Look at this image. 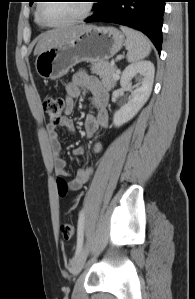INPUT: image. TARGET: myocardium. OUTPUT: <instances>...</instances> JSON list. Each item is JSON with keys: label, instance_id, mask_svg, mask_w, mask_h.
I'll list each match as a JSON object with an SVG mask.
<instances>
[{"label": "myocardium", "instance_id": "myocardium-1", "mask_svg": "<svg viewBox=\"0 0 195 299\" xmlns=\"http://www.w3.org/2000/svg\"><path fill=\"white\" fill-rule=\"evenodd\" d=\"M44 3H39L37 5V9H36V14L37 17L39 19V21L47 26V27H52V28H59V27H65V26H69L78 22H81L83 20H85L86 18H88L93 10V3L91 0H85V8L83 10V12L77 16L74 17L70 20H67L65 22H61V23H52L50 21H48L42 14V7H43Z\"/></svg>", "mask_w": 195, "mask_h": 299}]
</instances>
